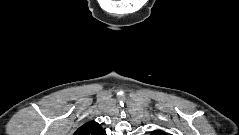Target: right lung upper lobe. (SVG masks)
<instances>
[{
	"mask_svg": "<svg viewBox=\"0 0 239 135\" xmlns=\"http://www.w3.org/2000/svg\"><path fill=\"white\" fill-rule=\"evenodd\" d=\"M74 135H106V133L100 124L90 121L78 128Z\"/></svg>",
	"mask_w": 239,
	"mask_h": 135,
	"instance_id": "cb5924a9",
	"label": "right lung upper lobe"
}]
</instances>
